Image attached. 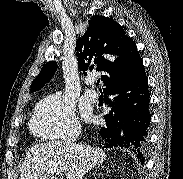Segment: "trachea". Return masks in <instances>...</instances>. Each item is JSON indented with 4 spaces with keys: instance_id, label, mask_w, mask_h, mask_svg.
<instances>
[{
    "instance_id": "obj_1",
    "label": "trachea",
    "mask_w": 183,
    "mask_h": 179,
    "mask_svg": "<svg viewBox=\"0 0 183 179\" xmlns=\"http://www.w3.org/2000/svg\"><path fill=\"white\" fill-rule=\"evenodd\" d=\"M97 85H99V80L97 81V84H96V86H97Z\"/></svg>"
}]
</instances>
